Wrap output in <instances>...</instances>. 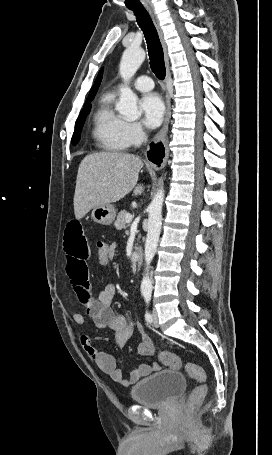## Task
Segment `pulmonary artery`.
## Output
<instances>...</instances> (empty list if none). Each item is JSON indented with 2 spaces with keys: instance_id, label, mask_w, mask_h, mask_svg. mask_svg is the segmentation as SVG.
I'll return each instance as SVG.
<instances>
[{
  "instance_id": "1",
  "label": "pulmonary artery",
  "mask_w": 272,
  "mask_h": 455,
  "mask_svg": "<svg viewBox=\"0 0 272 455\" xmlns=\"http://www.w3.org/2000/svg\"><path fill=\"white\" fill-rule=\"evenodd\" d=\"M153 86V81L148 76H139L134 81V87L139 91H150Z\"/></svg>"
}]
</instances>
